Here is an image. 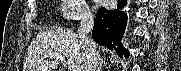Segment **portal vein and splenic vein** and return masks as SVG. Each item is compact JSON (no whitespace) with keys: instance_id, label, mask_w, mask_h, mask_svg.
I'll list each match as a JSON object with an SVG mask.
<instances>
[{"instance_id":"1","label":"portal vein and splenic vein","mask_w":181,"mask_h":71,"mask_svg":"<svg viewBox=\"0 0 181 71\" xmlns=\"http://www.w3.org/2000/svg\"><path fill=\"white\" fill-rule=\"evenodd\" d=\"M51 56L55 57L56 59L60 60L61 63L66 66L65 58L63 55L58 54V53H53Z\"/></svg>"}]
</instances>
